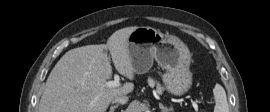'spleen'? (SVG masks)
Masks as SVG:
<instances>
[{"label":"spleen","instance_id":"spleen-1","mask_svg":"<svg viewBox=\"0 0 270 112\" xmlns=\"http://www.w3.org/2000/svg\"><path fill=\"white\" fill-rule=\"evenodd\" d=\"M213 94L216 102L214 112H229L226 92L224 88L221 85L216 84L213 89Z\"/></svg>","mask_w":270,"mask_h":112}]
</instances>
